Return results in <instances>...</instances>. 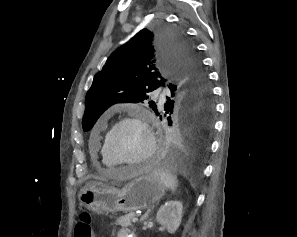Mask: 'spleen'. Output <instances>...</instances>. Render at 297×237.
<instances>
[{
  "label": "spleen",
  "instance_id": "obj_1",
  "mask_svg": "<svg viewBox=\"0 0 297 237\" xmlns=\"http://www.w3.org/2000/svg\"><path fill=\"white\" fill-rule=\"evenodd\" d=\"M154 173L167 188L172 191L177 189L178 180L176 176L165 170H156Z\"/></svg>",
  "mask_w": 297,
  "mask_h": 237
}]
</instances>
